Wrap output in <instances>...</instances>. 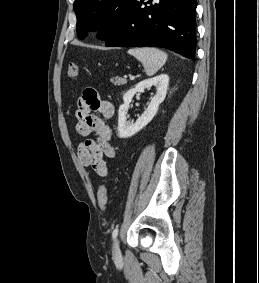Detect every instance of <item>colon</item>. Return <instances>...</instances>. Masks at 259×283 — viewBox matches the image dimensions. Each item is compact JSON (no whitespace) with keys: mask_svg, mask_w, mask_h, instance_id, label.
I'll return each instance as SVG.
<instances>
[{"mask_svg":"<svg viewBox=\"0 0 259 283\" xmlns=\"http://www.w3.org/2000/svg\"><path fill=\"white\" fill-rule=\"evenodd\" d=\"M79 73V65L76 62H70L67 69L69 78L74 79ZM98 204L101 209H106L108 205V190L105 185H102L98 190Z\"/></svg>","mask_w":259,"mask_h":283,"instance_id":"obj_1","label":"colon"}]
</instances>
